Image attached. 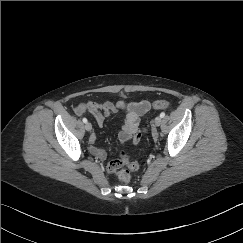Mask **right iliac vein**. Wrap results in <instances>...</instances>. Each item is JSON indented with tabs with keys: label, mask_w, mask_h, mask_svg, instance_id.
<instances>
[{
	"label": "right iliac vein",
	"mask_w": 243,
	"mask_h": 243,
	"mask_svg": "<svg viewBox=\"0 0 243 243\" xmlns=\"http://www.w3.org/2000/svg\"><path fill=\"white\" fill-rule=\"evenodd\" d=\"M85 129H86L87 131H91V130H92V125H91V123L87 122V123L85 124Z\"/></svg>",
	"instance_id": "right-iliac-vein-1"
}]
</instances>
